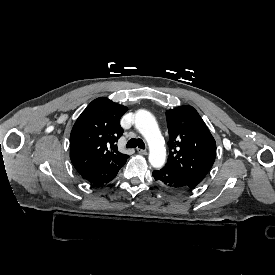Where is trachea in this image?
I'll list each match as a JSON object with an SVG mask.
<instances>
[{"mask_svg":"<svg viewBox=\"0 0 275 275\" xmlns=\"http://www.w3.org/2000/svg\"><path fill=\"white\" fill-rule=\"evenodd\" d=\"M127 148H135V147H139L140 149H145V143L143 142L142 139H130L127 144H126Z\"/></svg>","mask_w":275,"mask_h":275,"instance_id":"3493384b","label":"trachea"}]
</instances>
